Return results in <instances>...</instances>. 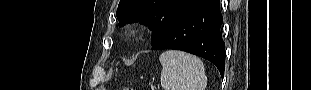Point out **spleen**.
<instances>
[{
  "label": "spleen",
  "instance_id": "1",
  "mask_svg": "<svg viewBox=\"0 0 311 90\" xmlns=\"http://www.w3.org/2000/svg\"><path fill=\"white\" fill-rule=\"evenodd\" d=\"M163 90H205L207 76L202 61L186 52L168 50L159 57Z\"/></svg>",
  "mask_w": 311,
  "mask_h": 90
}]
</instances>
